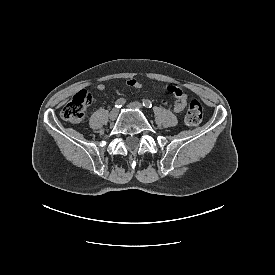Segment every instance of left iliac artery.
Instances as JSON below:
<instances>
[{"instance_id": "obj_1", "label": "left iliac artery", "mask_w": 275, "mask_h": 275, "mask_svg": "<svg viewBox=\"0 0 275 275\" xmlns=\"http://www.w3.org/2000/svg\"><path fill=\"white\" fill-rule=\"evenodd\" d=\"M143 106L147 107V108H151L152 107V103L149 100H143Z\"/></svg>"}]
</instances>
